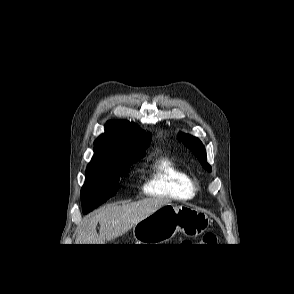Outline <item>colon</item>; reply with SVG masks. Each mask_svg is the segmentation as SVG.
I'll return each mask as SVG.
<instances>
[{
  "instance_id": "1",
  "label": "colon",
  "mask_w": 294,
  "mask_h": 294,
  "mask_svg": "<svg viewBox=\"0 0 294 294\" xmlns=\"http://www.w3.org/2000/svg\"><path fill=\"white\" fill-rule=\"evenodd\" d=\"M217 240L216 234L213 232H208L203 235L202 242L206 245L213 244Z\"/></svg>"
}]
</instances>
